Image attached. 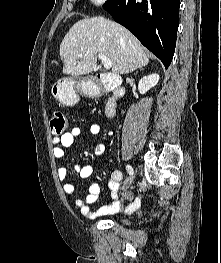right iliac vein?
<instances>
[{
  "label": "right iliac vein",
  "instance_id": "obj_1",
  "mask_svg": "<svg viewBox=\"0 0 221 263\" xmlns=\"http://www.w3.org/2000/svg\"><path fill=\"white\" fill-rule=\"evenodd\" d=\"M132 180H133V177H130V178L127 179L125 188L129 187V185L132 183Z\"/></svg>",
  "mask_w": 221,
  "mask_h": 263
}]
</instances>
